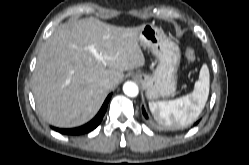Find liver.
Segmentation results:
<instances>
[{
	"mask_svg": "<svg viewBox=\"0 0 249 165\" xmlns=\"http://www.w3.org/2000/svg\"><path fill=\"white\" fill-rule=\"evenodd\" d=\"M142 26L117 27L89 17L60 25L43 44L33 75L40 115L51 125L71 128L90 121L124 71L145 65L138 43ZM111 59L97 60L88 46ZM110 79L113 86L101 82Z\"/></svg>",
	"mask_w": 249,
	"mask_h": 165,
	"instance_id": "1",
	"label": "liver"
}]
</instances>
